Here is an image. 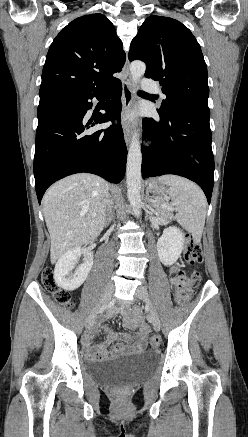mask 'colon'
I'll list each match as a JSON object with an SVG mask.
<instances>
[{
  "label": "colon",
  "mask_w": 248,
  "mask_h": 437,
  "mask_svg": "<svg viewBox=\"0 0 248 437\" xmlns=\"http://www.w3.org/2000/svg\"><path fill=\"white\" fill-rule=\"evenodd\" d=\"M185 261L189 266H195L202 262L201 245L192 238H189L186 242ZM41 278L44 287L53 295L58 303L69 308L73 307L70 295L57 286L51 267L44 268ZM199 283L200 274L197 271H193L189 275L179 272L174 287L176 301L180 305L186 304L191 296L192 288L196 287ZM148 346L150 349H157L160 346V339L155 336L151 337L148 341Z\"/></svg>",
  "instance_id": "obj_1"
}]
</instances>
